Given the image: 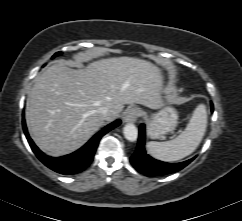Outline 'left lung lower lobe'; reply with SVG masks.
<instances>
[{"mask_svg": "<svg viewBox=\"0 0 242 221\" xmlns=\"http://www.w3.org/2000/svg\"><path fill=\"white\" fill-rule=\"evenodd\" d=\"M211 111L213 112L212 103ZM193 159L180 163H166L150 157L145 151V125L141 124L137 148L130 161L137 171L148 177H152L177 172L187 166Z\"/></svg>", "mask_w": 242, "mask_h": 221, "instance_id": "obj_1", "label": "left lung lower lobe"}]
</instances>
